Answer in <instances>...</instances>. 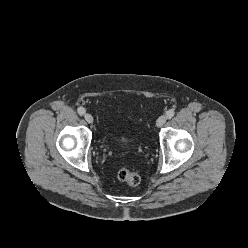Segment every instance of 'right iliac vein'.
<instances>
[{
  "label": "right iliac vein",
  "instance_id": "obj_1",
  "mask_svg": "<svg viewBox=\"0 0 248 248\" xmlns=\"http://www.w3.org/2000/svg\"><path fill=\"white\" fill-rule=\"evenodd\" d=\"M84 118H85V120H86V122L87 123H89V124H92L93 123V116L90 114V113H86L85 115H84Z\"/></svg>",
  "mask_w": 248,
  "mask_h": 248
}]
</instances>
